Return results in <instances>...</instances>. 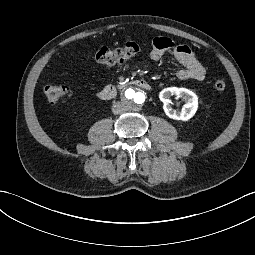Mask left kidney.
Returning <instances> with one entry per match:
<instances>
[{
  "label": "left kidney",
  "mask_w": 255,
  "mask_h": 255,
  "mask_svg": "<svg viewBox=\"0 0 255 255\" xmlns=\"http://www.w3.org/2000/svg\"><path fill=\"white\" fill-rule=\"evenodd\" d=\"M175 96L176 99L181 98L185 101L180 112H176L169 104L171 103L170 97ZM159 99L163 103V109L167 117L173 120H190L198 110L197 95L186 88L169 87L163 89L159 93Z\"/></svg>",
  "instance_id": "left-kidney-1"
}]
</instances>
